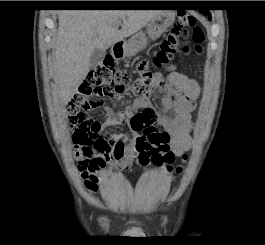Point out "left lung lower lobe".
<instances>
[{"label":"left lung lower lobe","mask_w":265,"mask_h":245,"mask_svg":"<svg viewBox=\"0 0 265 245\" xmlns=\"http://www.w3.org/2000/svg\"><path fill=\"white\" fill-rule=\"evenodd\" d=\"M200 12L203 13L204 15H208L209 14L208 10H200Z\"/></svg>","instance_id":"1"}]
</instances>
